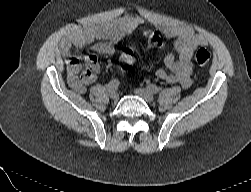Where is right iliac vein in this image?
<instances>
[{
  "mask_svg": "<svg viewBox=\"0 0 251 192\" xmlns=\"http://www.w3.org/2000/svg\"><path fill=\"white\" fill-rule=\"evenodd\" d=\"M109 96L113 100H118V98H119V95H118V93L116 91H110Z\"/></svg>",
  "mask_w": 251,
  "mask_h": 192,
  "instance_id": "right-iliac-vein-1",
  "label": "right iliac vein"
}]
</instances>
